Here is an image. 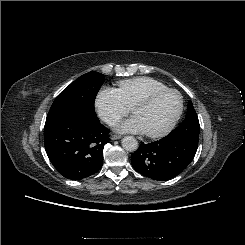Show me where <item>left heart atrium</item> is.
Instances as JSON below:
<instances>
[{
  "instance_id": "1",
  "label": "left heart atrium",
  "mask_w": 245,
  "mask_h": 245,
  "mask_svg": "<svg viewBox=\"0 0 245 245\" xmlns=\"http://www.w3.org/2000/svg\"><path fill=\"white\" fill-rule=\"evenodd\" d=\"M116 129L121 132H134V133L144 132L143 127L136 116L119 122L116 126Z\"/></svg>"
}]
</instances>
